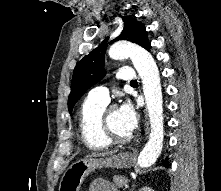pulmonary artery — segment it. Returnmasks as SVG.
Returning <instances> with one entry per match:
<instances>
[{"mask_svg":"<svg viewBox=\"0 0 221 191\" xmlns=\"http://www.w3.org/2000/svg\"><path fill=\"white\" fill-rule=\"evenodd\" d=\"M118 77L120 80L124 82H132L136 79L135 71L130 67H124L120 69L118 73ZM88 97L92 100L108 103L109 102V92L108 89L104 86L96 87L92 89Z\"/></svg>","mask_w":221,"mask_h":191,"instance_id":"1","label":"pulmonary artery"}]
</instances>
